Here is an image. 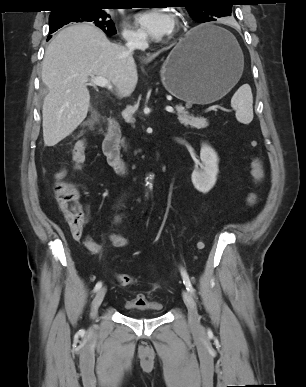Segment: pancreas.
Segmentation results:
<instances>
[{"mask_svg": "<svg viewBox=\"0 0 306 387\" xmlns=\"http://www.w3.org/2000/svg\"><path fill=\"white\" fill-rule=\"evenodd\" d=\"M175 108L178 113V120L182 125L196 129H203L208 126V122L206 119V123L203 125L202 119L204 118L189 115L188 111L182 105H176Z\"/></svg>", "mask_w": 306, "mask_h": 387, "instance_id": "pancreas-1", "label": "pancreas"}]
</instances>
